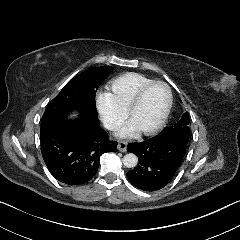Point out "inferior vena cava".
<instances>
[{
    "instance_id": "inferior-vena-cava-1",
    "label": "inferior vena cava",
    "mask_w": 240,
    "mask_h": 240,
    "mask_svg": "<svg viewBox=\"0 0 240 240\" xmlns=\"http://www.w3.org/2000/svg\"><path fill=\"white\" fill-rule=\"evenodd\" d=\"M104 127L108 130H116L120 128V124L116 121H112L110 119H105L103 121Z\"/></svg>"
}]
</instances>
